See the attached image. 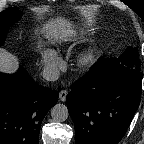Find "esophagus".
Returning a JSON list of instances; mask_svg holds the SVG:
<instances>
[{
  "instance_id": "obj_1",
  "label": "esophagus",
  "mask_w": 144,
  "mask_h": 144,
  "mask_svg": "<svg viewBox=\"0 0 144 144\" xmlns=\"http://www.w3.org/2000/svg\"><path fill=\"white\" fill-rule=\"evenodd\" d=\"M67 97V91L66 90H61L59 93V99L64 102L66 100Z\"/></svg>"
}]
</instances>
